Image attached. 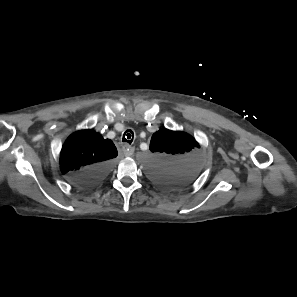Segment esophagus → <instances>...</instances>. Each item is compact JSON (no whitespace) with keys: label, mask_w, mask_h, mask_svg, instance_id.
<instances>
[{"label":"esophagus","mask_w":297,"mask_h":297,"mask_svg":"<svg viewBox=\"0 0 297 297\" xmlns=\"http://www.w3.org/2000/svg\"><path fill=\"white\" fill-rule=\"evenodd\" d=\"M122 149H123L125 156H127V157L132 156L134 153V150H135L134 147H131L127 144L123 145Z\"/></svg>","instance_id":"esophagus-1"}]
</instances>
